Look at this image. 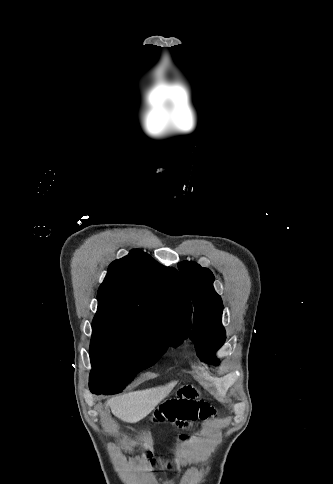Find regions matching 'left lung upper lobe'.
I'll return each instance as SVG.
<instances>
[{
  "label": "left lung upper lobe",
  "mask_w": 333,
  "mask_h": 484,
  "mask_svg": "<svg viewBox=\"0 0 333 484\" xmlns=\"http://www.w3.org/2000/svg\"><path fill=\"white\" fill-rule=\"evenodd\" d=\"M178 268L195 308L191 339L203 361L216 363L214 353L223 345L226 336L221 323L223 303L214 290V276L195 262H180Z\"/></svg>",
  "instance_id": "left-lung-upper-lobe-1"
}]
</instances>
